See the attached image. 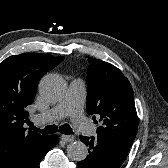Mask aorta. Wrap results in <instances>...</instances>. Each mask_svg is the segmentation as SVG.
<instances>
[{
    "label": "aorta",
    "mask_w": 168,
    "mask_h": 168,
    "mask_svg": "<svg viewBox=\"0 0 168 168\" xmlns=\"http://www.w3.org/2000/svg\"><path fill=\"white\" fill-rule=\"evenodd\" d=\"M39 92L46 101L54 103L63 98L66 84L60 76L47 74L40 81ZM67 155L73 161H83L88 155V148L83 142L75 141L67 146Z\"/></svg>",
    "instance_id": "obj_1"
}]
</instances>
